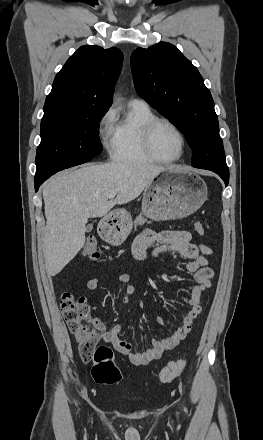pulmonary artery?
I'll return each mask as SVG.
<instances>
[{
  "label": "pulmonary artery",
  "mask_w": 263,
  "mask_h": 440,
  "mask_svg": "<svg viewBox=\"0 0 263 440\" xmlns=\"http://www.w3.org/2000/svg\"><path fill=\"white\" fill-rule=\"evenodd\" d=\"M130 104L140 105V106H148L147 102L144 99H140V98L131 99Z\"/></svg>",
  "instance_id": "e3ab8cb5"
}]
</instances>
